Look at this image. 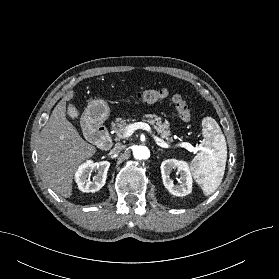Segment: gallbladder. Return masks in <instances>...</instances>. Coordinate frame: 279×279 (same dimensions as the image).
Listing matches in <instances>:
<instances>
[{
  "label": "gallbladder",
  "instance_id": "gallbladder-1",
  "mask_svg": "<svg viewBox=\"0 0 279 279\" xmlns=\"http://www.w3.org/2000/svg\"><path fill=\"white\" fill-rule=\"evenodd\" d=\"M67 114L69 115V117H70L71 119H76V118H78V116H79L78 110H77L76 107H75L74 105H72V104H69V105H68Z\"/></svg>",
  "mask_w": 279,
  "mask_h": 279
}]
</instances>
